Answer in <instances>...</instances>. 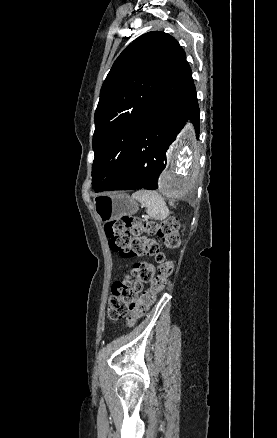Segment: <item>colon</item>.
<instances>
[{
  "instance_id": "1",
  "label": "colon",
  "mask_w": 277,
  "mask_h": 438,
  "mask_svg": "<svg viewBox=\"0 0 277 438\" xmlns=\"http://www.w3.org/2000/svg\"><path fill=\"white\" fill-rule=\"evenodd\" d=\"M104 229L110 249L120 257L153 256L157 261V267L150 262L133 265L132 278L118 280L109 298V317L114 320L127 317L131 325L147 313L173 273V264L164 259L163 249H173L180 244V224L174 218L153 222L124 215L121 220L107 222ZM141 233L148 235L140 236ZM155 270L157 277H153ZM149 281H152L151 288L139 296L142 284Z\"/></svg>"
}]
</instances>
